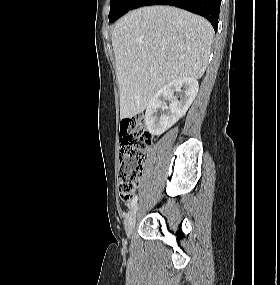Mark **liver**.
<instances>
[{
	"mask_svg": "<svg viewBox=\"0 0 280 285\" xmlns=\"http://www.w3.org/2000/svg\"><path fill=\"white\" fill-rule=\"evenodd\" d=\"M213 37L206 19L174 7H143L123 16L111 37L120 118L143 112L160 88L178 78L200 79Z\"/></svg>",
	"mask_w": 280,
	"mask_h": 285,
	"instance_id": "liver-1",
	"label": "liver"
}]
</instances>
